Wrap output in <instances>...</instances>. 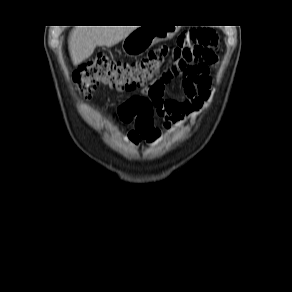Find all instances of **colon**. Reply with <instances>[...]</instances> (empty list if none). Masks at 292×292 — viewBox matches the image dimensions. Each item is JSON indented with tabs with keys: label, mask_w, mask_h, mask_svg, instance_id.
<instances>
[{
	"label": "colon",
	"mask_w": 292,
	"mask_h": 292,
	"mask_svg": "<svg viewBox=\"0 0 292 292\" xmlns=\"http://www.w3.org/2000/svg\"><path fill=\"white\" fill-rule=\"evenodd\" d=\"M218 42L216 33L207 28H192L182 32L174 48L162 47L135 61H119L105 55L97 56L74 73L77 89L88 97L99 84L118 91L144 89V94L133 96L118 110L119 118L135 123L147 141L156 139L153 129L158 97L163 86L175 76L189 73L194 65L205 60Z\"/></svg>",
	"instance_id": "5ec220e1"
}]
</instances>
